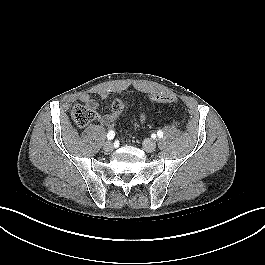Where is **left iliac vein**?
Returning <instances> with one entry per match:
<instances>
[{"instance_id":"left-iliac-vein-1","label":"left iliac vein","mask_w":265,"mask_h":265,"mask_svg":"<svg viewBox=\"0 0 265 265\" xmlns=\"http://www.w3.org/2000/svg\"><path fill=\"white\" fill-rule=\"evenodd\" d=\"M143 148L146 152L152 153L156 149V143L152 140L146 139L143 141Z\"/></svg>"}]
</instances>
